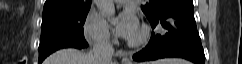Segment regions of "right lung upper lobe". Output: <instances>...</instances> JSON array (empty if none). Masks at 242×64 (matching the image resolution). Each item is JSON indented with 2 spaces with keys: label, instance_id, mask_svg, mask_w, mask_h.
Instances as JSON below:
<instances>
[{
  "label": "right lung upper lobe",
  "instance_id": "right-lung-upper-lobe-1",
  "mask_svg": "<svg viewBox=\"0 0 242 64\" xmlns=\"http://www.w3.org/2000/svg\"><path fill=\"white\" fill-rule=\"evenodd\" d=\"M91 0H46L43 14L53 12H71L90 9Z\"/></svg>",
  "mask_w": 242,
  "mask_h": 64
}]
</instances>
